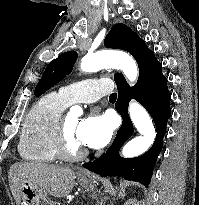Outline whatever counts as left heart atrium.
<instances>
[{
    "label": "left heart atrium",
    "mask_w": 199,
    "mask_h": 205,
    "mask_svg": "<svg viewBox=\"0 0 199 205\" xmlns=\"http://www.w3.org/2000/svg\"><path fill=\"white\" fill-rule=\"evenodd\" d=\"M114 128L115 124L111 117L93 114L80 121L77 137L82 145L98 149L110 141Z\"/></svg>",
    "instance_id": "left-heart-atrium-1"
}]
</instances>
